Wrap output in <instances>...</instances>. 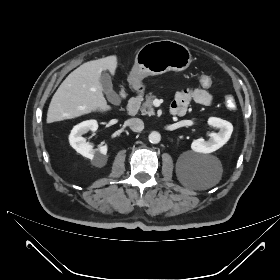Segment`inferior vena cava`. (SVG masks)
<instances>
[{
	"label": "inferior vena cava",
	"instance_id": "inferior-vena-cava-1",
	"mask_svg": "<svg viewBox=\"0 0 280 280\" xmlns=\"http://www.w3.org/2000/svg\"><path fill=\"white\" fill-rule=\"evenodd\" d=\"M127 124L129 125L130 129L134 132H141L144 129V123L139 118H131L127 120Z\"/></svg>",
	"mask_w": 280,
	"mask_h": 280
}]
</instances>
